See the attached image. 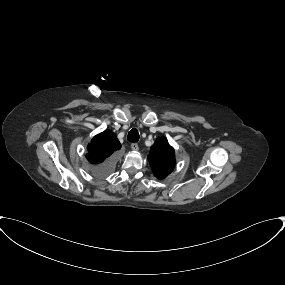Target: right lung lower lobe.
<instances>
[{"label": "right lung lower lobe", "instance_id": "right-lung-lower-lobe-1", "mask_svg": "<svg viewBox=\"0 0 285 285\" xmlns=\"http://www.w3.org/2000/svg\"><path fill=\"white\" fill-rule=\"evenodd\" d=\"M114 167V161L112 159H109L105 161L104 163L97 166L92 172L97 177H105L109 175Z\"/></svg>", "mask_w": 285, "mask_h": 285}]
</instances>
